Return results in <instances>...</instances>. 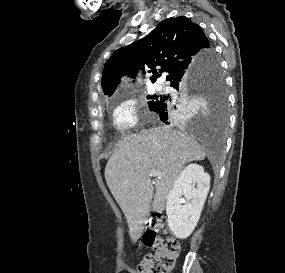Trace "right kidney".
<instances>
[{"mask_svg":"<svg viewBox=\"0 0 285 273\" xmlns=\"http://www.w3.org/2000/svg\"><path fill=\"white\" fill-rule=\"evenodd\" d=\"M209 189L210 176L198 164H189L177 177L166 203L168 226L177 238L193 232Z\"/></svg>","mask_w":285,"mask_h":273,"instance_id":"right-kidney-1","label":"right kidney"}]
</instances>
